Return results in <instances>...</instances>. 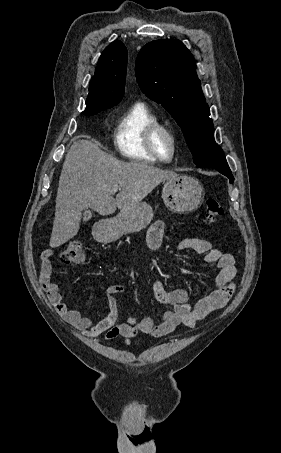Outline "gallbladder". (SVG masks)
Returning <instances> with one entry per match:
<instances>
[{
	"label": "gallbladder",
	"instance_id": "obj_1",
	"mask_svg": "<svg viewBox=\"0 0 281 453\" xmlns=\"http://www.w3.org/2000/svg\"><path fill=\"white\" fill-rule=\"evenodd\" d=\"M91 216H92L91 210H85V212L83 214V220H89V218H91Z\"/></svg>",
	"mask_w": 281,
	"mask_h": 453
}]
</instances>
